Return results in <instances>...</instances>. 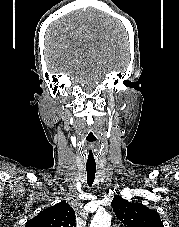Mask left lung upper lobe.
Instances as JSON below:
<instances>
[{
  "instance_id": "obj_1",
  "label": "left lung upper lobe",
  "mask_w": 179,
  "mask_h": 227,
  "mask_svg": "<svg viewBox=\"0 0 179 227\" xmlns=\"http://www.w3.org/2000/svg\"><path fill=\"white\" fill-rule=\"evenodd\" d=\"M111 206L124 227H164L159 214L141 203L115 196Z\"/></svg>"
}]
</instances>
